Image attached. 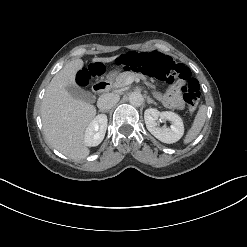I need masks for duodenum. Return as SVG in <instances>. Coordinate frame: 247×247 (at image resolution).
<instances>
[{
    "label": "duodenum",
    "mask_w": 247,
    "mask_h": 247,
    "mask_svg": "<svg viewBox=\"0 0 247 247\" xmlns=\"http://www.w3.org/2000/svg\"><path fill=\"white\" fill-rule=\"evenodd\" d=\"M107 88L108 86L105 82L99 81L93 85L92 89L95 96H101L106 92Z\"/></svg>",
    "instance_id": "1"
}]
</instances>
